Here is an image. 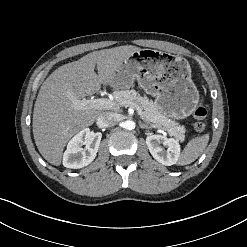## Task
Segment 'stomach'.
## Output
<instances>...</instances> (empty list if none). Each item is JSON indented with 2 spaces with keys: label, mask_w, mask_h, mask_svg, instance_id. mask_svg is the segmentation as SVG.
Masks as SVG:
<instances>
[{
  "label": "stomach",
  "mask_w": 247,
  "mask_h": 247,
  "mask_svg": "<svg viewBox=\"0 0 247 247\" xmlns=\"http://www.w3.org/2000/svg\"><path fill=\"white\" fill-rule=\"evenodd\" d=\"M135 80L155 97L160 112L174 120L189 117L199 102L190 65L181 57L152 49L136 51L115 72L111 86L126 89Z\"/></svg>",
  "instance_id": "stomach-1"
}]
</instances>
